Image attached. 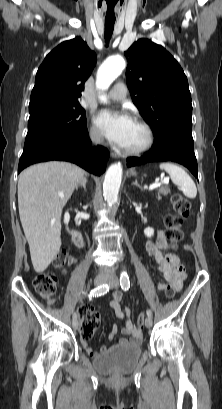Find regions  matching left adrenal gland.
<instances>
[{"label": "left adrenal gland", "mask_w": 222, "mask_h": 409, "mask_svg": "<svg viewBox=\"0 0 222 409\" xmlns=\"http://www.w3.org/2000/svg\"><path fill=\"white\" fill-rule=\"evenodd\" d=\"M132 185L138 186V187L142 190V187L138 184L137 180H135V181L132 183Z\"/></svg>", "instance_id": "obj_1"}]
</instances>
